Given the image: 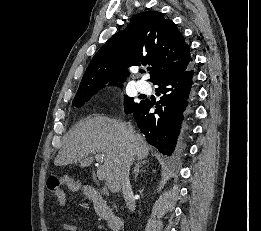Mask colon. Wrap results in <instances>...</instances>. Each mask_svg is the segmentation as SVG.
Here are the masks:
<instances>
[{"label": "colon", "instance_id": "1", "mask_svg": "<svg viewBox=\"0 0 261 231\" xmlns=\"http://www.w3.org/2000/svg\"><path fill=\"white\" fill-rule=\"evenodd\" d=\"M51 191H52L58 198H61V190H60L58 184H55V185L51 188Z\"/></svg>", "mask_w": 261, "mask_h": 231}]
</instances>
